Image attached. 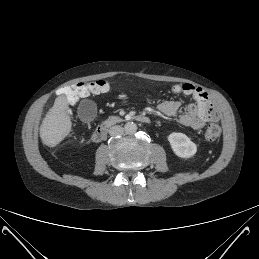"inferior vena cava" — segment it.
<instances>
[{"instance_id": "inferior-vena-cava-1", "label": "inferior vena cava", "mask_w": 259, "mask_h": 259, "mask_svg": "<svg viewBox=\"0 0 259 259\" xmlns=\"http://www.w3.org/2000/svg\"><path fill=\"white\" fill-rule=\"evenodd\" d=\"M109 134L111 136H120L124 134V128L119 126V125H115L113 127L110 128L109 130Z\"/></svg>"}]
</instances>
